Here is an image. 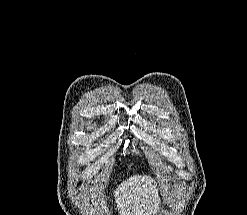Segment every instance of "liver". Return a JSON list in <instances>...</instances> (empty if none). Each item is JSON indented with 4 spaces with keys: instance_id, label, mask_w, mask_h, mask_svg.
I'll list each match as a JSON object with an SVG mask.
<instances>
[{
    "instance_id": "obj_1",
    "label": "liver",
    "mask_w": 247,
    "mask_h": 215,
    "mask_svg": "<svg viewBox=\"0 0 247 215\" xmlns=\"http://www.w3.org/2000/svg\"><path fill=\"white\" fill-rule=\"evenodd\" d=\"M150 176L135 175L114 192L119 215H155L159 209L158 189Z\"/></svg>"
}]
</instances>
